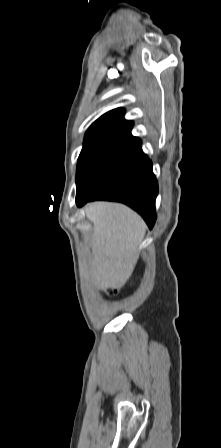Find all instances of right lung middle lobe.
Instances as JSON below:
<instances>
[{"label":"right lung middle lobe","instance_id":"1","mask_svg":"<svg viewBox=\"0 0 221 448\" xmlns=\"http://www.w3.org/2000/svg\"><path fill=\"white\" fill-rule=\"evenodd\" d=\"M113 149L111 147H87L82 149L78 158L76 171L77 193L88 180L94 169Z\"/></svg>","mask_w":221,"mask_h":448}]
</instances>
